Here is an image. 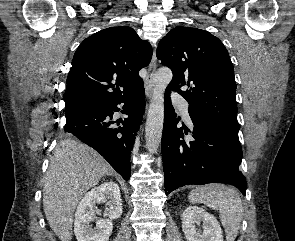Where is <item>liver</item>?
Here are the masks:
<instances>
[{
    "mask_svg": "<svg viewBox=\"0 0 295 241\" xmlns=\"http://www.w3.org/2000/svg\"><path fill=\"white\" fill-rule=\"evenodd\" d=\"M112 173V167L89 146L70 139L58 143L43 181V208L61 241L72 239L74 211L82 196Z\"/></svg>",
    "mask_w": 295,
    "mask_h": 241,
    "instance_id": "obj_1",
    "label": "liver"
}]
</instances>
